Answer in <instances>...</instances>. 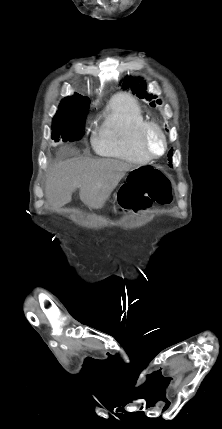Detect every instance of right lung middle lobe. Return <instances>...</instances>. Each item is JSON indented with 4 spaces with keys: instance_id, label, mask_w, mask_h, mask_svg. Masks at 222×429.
<instances>
[{
    "instance_id": "dd1d6c3e",
    "label": "right lung middle lobe",
    "mask_w": 222,
    "mask_h": 429,
    "mask_svg": "<svg viewBox=\"0 0 222 429\" xmlns=\"http://www.w3.org/2000/svg\"><path fill=\"white\" fill-rule=\"evenodd\" d=\"M89 100L79 94L65 97L52 121V139L56 142L78 141L84 134V122L89 108Z\"/></svg>"
}]
</instances>
